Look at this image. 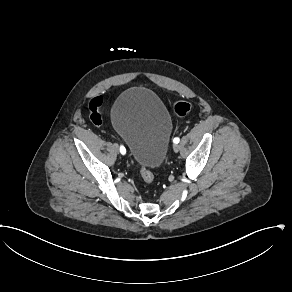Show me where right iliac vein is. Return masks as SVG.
Wrapping results in <instances>:
<instances>
[{"label":"right iliac vein","mask_w":292,"mask_h":292,"mask_svg":"<svg viewBox=\"0 0 292 292\" xmlns=\"http://www.w3.org/2000/svg\"><path fill=\"white\" fill-rule=\"evenodd\" d=\"M113 148H114V150H115L116 152L119 151V148H118V145H117V144H114V145H113Z\"/></svg>","instance_id":"right-iliac-vein-1"}]
</instances>
